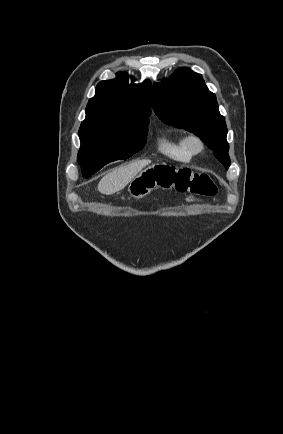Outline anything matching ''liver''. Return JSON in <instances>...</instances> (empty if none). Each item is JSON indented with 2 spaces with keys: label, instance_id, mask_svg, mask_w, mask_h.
Here are the masks:
<instances>
[{
  "label": "liver",
  "instance_id": "liver-1",
  "mask_svg": "<svg viewBox=\"0 0 283 434\" xmlns=\"http://www.w3.org/2000/svg\"><path fill=\"white\" fill-rule=\"evenodd\" d=\"M151 160L144 159L121 166L106 174L98 184V190L102 194L111 195L124 189Z\"/></svg>",
  "mask_w": 283,
  "mask_h": 434
}]
</instances>
